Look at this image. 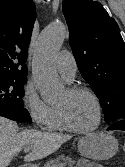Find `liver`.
Segmentation results:
<instances>
[{"label":"liver","instance_id":"6515ba94","mask_svg":"<svg viewBox=\"0 0 125 167\" xmlns=\"http://www.w3.org/2000/svg\"><path fill=\"white\" fill-rule=\"evenodd\" d=\"M70 139V135L32 129L19 132L16 122L0 117V167H7L22 148H32L24 157L26 162H30L49 156Z\"/></svg>","mask_w":125,"mask_h":167}]
</instances>
